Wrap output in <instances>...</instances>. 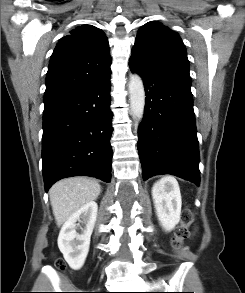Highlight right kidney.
Here are the masks:
<instances>
[{
  "label": "right kidney",
  "instance_id": "1",
  "mask_svg": "<svg viewBox=\"0 0 245 293\" xmlns=\"http://www.w3.org/2000/svg\"><path fill=\"white\" fill-rule=\"evenodd\" d=\"M98 212V205L91 201L74 212L62 226L58 236V247L73 270L84 265L89 252L90 238ZM84 226V228H81ZM82 229L79 234L76 230Z\"/></svg>",
  "mask_w": 245,
  "mask_h": 293
}]
</instances>
